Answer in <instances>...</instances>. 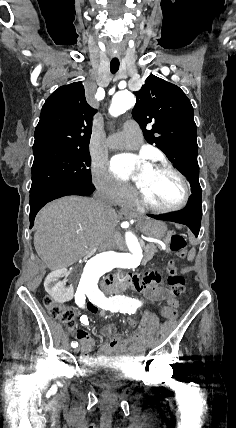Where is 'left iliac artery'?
<instances>
[{"mask_svg": "<svg viewBox=\"0 0 236 428\" xmlns=\"http://www.w3.org/2000/svg\"><path fill=\"white\" fill-rule=\"evenodd\" d=\"M85 293L90 302L111 312L128 313L142 305L139 300L125 297V295L106 298L101 291H86Z\"/></svg>", "mask_w": 236, "mask_h": 428, "instance_id": "44dca946", "label": "left iliac artery"}]
</instances>
